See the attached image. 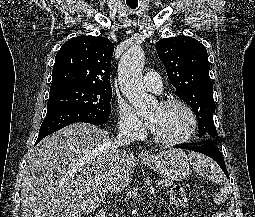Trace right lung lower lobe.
<instances>
[{
  "mask_svg": "<svg viewBox=\"0 0 255 217\" xmlns=\"http://www.w3.org/2000/svg\"><path fill=\"white\" fill-rule=\"evenodd\" d=\"M108 118L109 117H102L89 111L66 105L49 107L47 109L46 117L40 127L39 135L35 145L47 135L62 129L69 124L85 122L94 125H100L105 123Z\"/></svg>",
  "mask_w": 255,
  "mask_h": 217,
  "instance_id": "98d812e1",
  "label": "right lung lower lobe"
}]
</instances>
